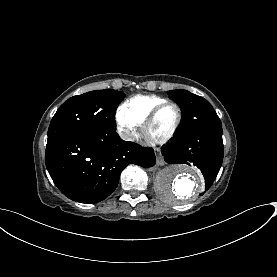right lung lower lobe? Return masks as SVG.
<instances>
[{"mask_svg": "<svg viewBox=\"0 0 277 277\" xmlns=\"http://www.w3.org/2000/svg\"><path fill=\"white\" fill-rule=\"evenodd\" d=\"M45 163L58 189L81 203H97L117 187L129 164L151 167L150 148L123 141L115 130L94 129L70 133L47 141Z\"/></svg>", "mask_w": 277, "mask_h": 277, "instance_id": "right-lung-lower-lobe-1", "label": "right lung lower lobe"}]
</instances>
